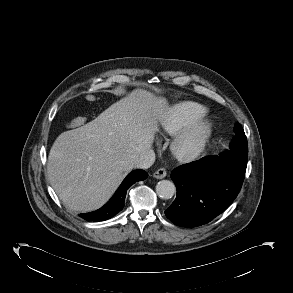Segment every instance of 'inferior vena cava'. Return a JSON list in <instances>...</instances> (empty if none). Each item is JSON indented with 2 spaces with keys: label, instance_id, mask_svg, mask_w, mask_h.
<instances>
[{
  "label": "inferior vena cava",
  "instance_id": "602c4592",
  "mask_svg": "<svg viewBox=\"0 0 293 293\" xmlns=\"http://www.w3.org/2000/svg\"><path fill=\"white\" fill-rule=\"evenodd\" d=\"M154 161L155 153L152 149H150L143 153L139 158L134 160L133 166L134 168L147 169L153 165Z\"/></svg>",
  "mask_w": 293,
  "mask_h": 293
}]
</instances>
